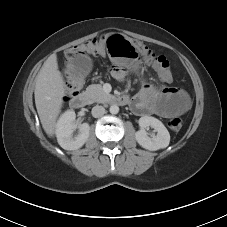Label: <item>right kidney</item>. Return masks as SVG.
<instances>
[{
    "mask_svg": "<svg viewBox=\"0 0 227 227\" xmlns=\"http://www.w3.org/2000/svg\"><path fill=\"white\" fill-rule=\"evenodd\" d=\"M76 114L73 110L64 112L56 124V137L59 145L65 150H77L81 148L88 140L90 126L83 123L79 126L80 133L76 137H72L73 131L76 129L74 120Z\"/></svg>",
    "mask_w": 227,
    "mask_h": 227,
    "instance_id": "right-kidney-1",
    "label": "right kidney"
}]
</instances>
